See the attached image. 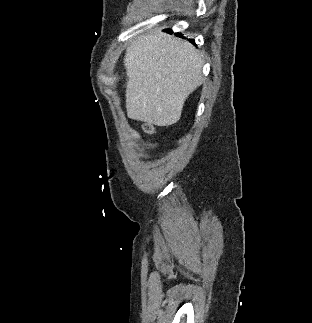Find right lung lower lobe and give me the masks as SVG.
<instances>
[{
  "label": "right lung lower lobe",
  "instance_id": "98d812e1",
  "mask_svg": "<svg viewBox=\"0 0 312 323\" xmlns=\"http://www.w3.org/2000/svg\"><path fill=\"white\" fill-rule=\"evenodd\" d=\"M168 31V30H167ZM177 36H181V34L180 33H177L176 34ZM192 43H194V41L193 40H190Z\"/></svg>",
  "mask_w": 312,
  "mask_h": 323
}]
</instances>
